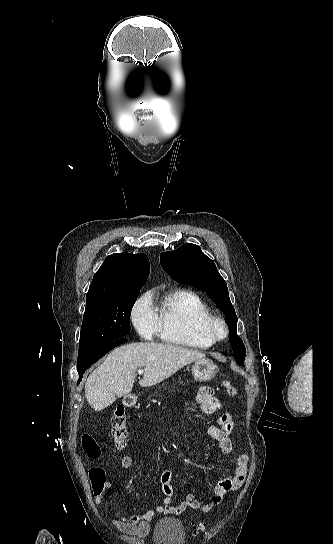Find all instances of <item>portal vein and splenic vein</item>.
I'll return each instance as SVG.
<instances>
[{"instance_id":"portal-vein-and-splenic-vein-1","label":"portal vein and splenic vein","mask_w":333,"mask_h":544,"mask_svg":"<svg viewBox=\"0 0 333 544\" xmlns=\"http://www.w3.org/2000/svg\"><path fill=\"white\" fill-rule=\"evenodd\" d=\"M144 373V370L143 369H139L138 370V374L142 375Z\"/></svg>"}]
</instances>
